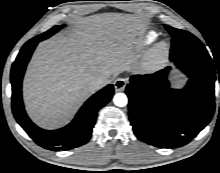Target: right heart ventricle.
Returning a JSON list of instances; mask_svg holds the SVG:
<instances>
[{"mask_svg": "<svg viewBox=\"0 0 220 173\" xmlns=\"http://www.w3.org/2000/svg\"><path fill=\"white\" fill-rule=\"evenodd\" d=\"M157 37V34L153 31L145 32L140 38L137 40L133 50L135 52L141 51L144 47L151 44Z\"/></svg>", "mask_w": 220, "mask_h": 173, "instance_id": "1", "label": "right heart ventricle"}]
</instances>
